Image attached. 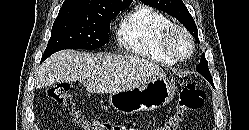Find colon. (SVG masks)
<instances>
[{
	"label": "colon",
	"instance_id": "colon-1",
	"mask_svg": "<svg viewBox=\"0 0 249 130\" xmlns=\"http://www.w3.org/2000/svg\"><path fill=\"white\" fill-rule=\"evenodd\" d=\"M47 97L54 103L62 106H71L73 104L70 85L66 83L49 87ZM204 101L205 92L194 83H188L179 94L176 114L162 124L148 129L91 120L84 117L78 110L74 111V117L81 130H179L182 115L186 112L199 110L203 106Z\"/></svg>",
	"mask_w": 249,
	"mask_h": 130
}]
</instances>
